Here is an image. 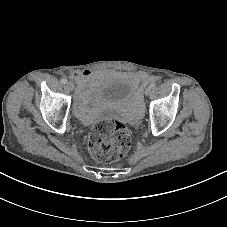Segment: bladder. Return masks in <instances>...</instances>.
I'll return each instance as SVG.
<instances>
[{
	"label": "bladder",
	"mask_w": 227,
	"mask_h": 227,
	"mask_svg": "<svg viewBox=\"0 0 227 227\" xmlns=\"http://www.w3.org/2000/svg\"><path fill=\"white\" fill-rule=\"evenodd\" d=\"M136 89L131 81L106 80L93 92L95 103H121L128 105L135 97Z\"/></svg>",
	"instance_id": "bladder-1"
}]
</instances>
